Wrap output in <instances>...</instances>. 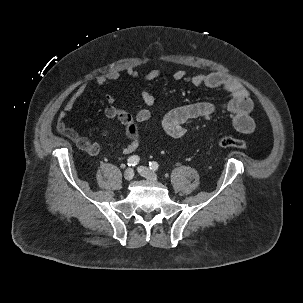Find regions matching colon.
<instances>
[{"label":"colon","mask_w":303,"mask_h":303,"mask_svg":"<svg viewBox=\"0 0 303 303\" xmlns=\"http://www.w3.org/2000/svg\"><path fill=\"white\" fill-rule=\"evenodd\" d=\"M218 144L221 147H233L237 149H246L247 144L241 139L234 138L232 136H222L218 140Z\"/></svg>","instance_id":"1"}]
</instances>
